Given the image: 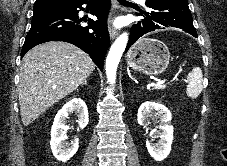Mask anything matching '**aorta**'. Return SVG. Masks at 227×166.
<instances>
[{"mask_svg":"<svg viewBox=\"0 0 227 166\" xmlns=\"http://www.w3.org/2000/svg\"><path fill=\"white\" fill-rule=\"evenodd\" d=\"M127 42L128 34L123 33L115 40L110 48L106 59V75L110 84L115 83L118 64L126 48Z\"/></svg>","mask_w":227,"mask_h":166,"instance_id":"762f6f07","label":"aorta"}]
</instances>
